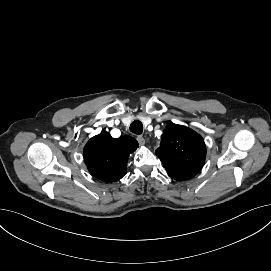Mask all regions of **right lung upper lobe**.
<instances>
[{
  "mask_svg": "<svg viewBox=\"0 0 271 271\" xmlns=\"http://www.w3.org/2000/svg\"><path fill=\"white\" fill-rule=\"evenodd\" d=\"M137 148L138 142L131 136L114 139L108 132H101L88 141L83 156L96 178L114 182L125 175L129 155Z\"/></svg>",
  "mask_w": 271,
  "mask_h": 271,
  "instance_id": "obj_1",
  "label": "right lung upper lobe"
}]
</instances>
